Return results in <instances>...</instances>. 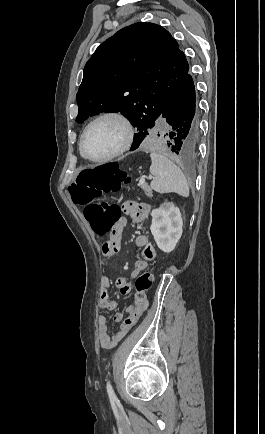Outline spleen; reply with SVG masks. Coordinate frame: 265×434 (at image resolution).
I'll return each instance as SVG.
<instances>
[{
	"instance_id": "spleen-1",
	"label": "spleen",
	"mask_w": 265,
	"mask_h": 434,
	"mask_svg": "<svg viewBox=\"0 0 265 434\" xmlns=\"http://www.w3.org/2000/svg\"><path fill=\"white\" fill-rule=\"evenodd\" d=\"M150 174L154 176L150 186L159 194H168V192H176L184 198L189 196V186L187 180L180 168H177L167 156L151 152Z\"/></svg>"
}]
</instances>
